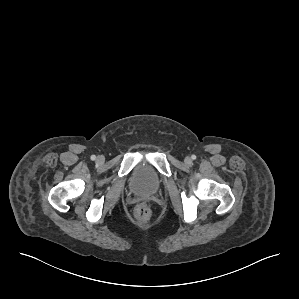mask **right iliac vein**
<instances>
[{
    "instance_id": "63e3f726",
    "label": "right iliac vein",
    "mask_w": 299,
    "mask_h": 299,
    "mask_svg": "<svg viewBox=\"0 0 299 299\" xmlns=\"http://www.w3.org/2000/svg\"><path fill=\"white\" fill-rule=\"evenodd\" d=\"M97 162L98 163H103L104 162V158L102 156H98L97 157Z\"/></svg>"
}]
</instances>
